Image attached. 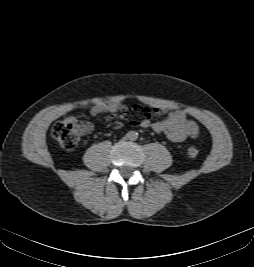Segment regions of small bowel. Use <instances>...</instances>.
<instances>
[{"mask_svg": "<svg viewBox=\"0 0 254 267\" xmlns=\"http://www.w3.org/2000/svg\"><path fill=\"white\" fill-rule=\"evenodd\" d=\"M134 111H143L144 119L141 121L131 120L133 126H141L143 128H151L156 133H163L173 143H180L187 138H195L199 133L198 125L195 121L190 120L187 114L182 110H176L168 113L162 120L152 121V116L161 115L164 110L160 107L151 109L143 108L140 105H133ZM91 115L96 116L102 113L114 115L120 113L123 118L128 117V108L117 102L98 103L90 110Z\"/></svg>", "mask_w": 254, "mask_h": 267, "instance_id": "c3829d8e", "label": "small bowel"}]
</instances>
